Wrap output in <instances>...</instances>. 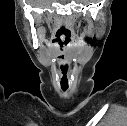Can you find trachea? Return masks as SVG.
Segmentation results:
<instances>
[{
    "label": "trachea",
    "instance_id": "1",
    "mask_svg": "<svg viewBox=\"0 0 127 126\" xmlns=\"http://www.w3.org/2000/svg\"><path fill=\"white\" fill-rule=\"evenodd\" d=\"M67 88H63V91H66Z\"/></svg>",
    "mask_w": 127,
    "mask_h": 126
}]
</instances>
